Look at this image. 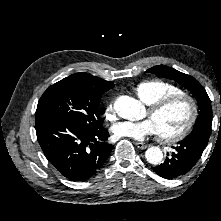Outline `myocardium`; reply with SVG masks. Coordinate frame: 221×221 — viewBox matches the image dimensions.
I'll list each match as a JSON object with an SVG mask.
<instances>
[{"label":"myocardium","mask_w":221,"mask_h":221,"mask_svg":"<svg viewBox=\"0 0 221 221\" xmlns=\"http://www.w3.org/2000/svg\"><path fill=\"white\" fill-rule=\"evenodd\" d=\"M180 102L184 103L187 106V120L185 124L173 134L164 135L158 132L159 139L165 143H175L181 141L190 133L198 116L197 103L190 95L182 93L161 98L151 104L148 109L149 116L151 117L160 113L165 108Z\"/></svg>","instance_id":"f54148a6"}]
</instances>
